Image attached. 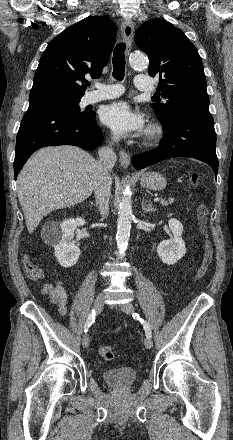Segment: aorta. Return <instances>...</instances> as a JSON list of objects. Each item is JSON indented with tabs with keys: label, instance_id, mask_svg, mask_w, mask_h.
<instances>
[{
	"label": "aorta",
	"instance_id": "762f6f07",
	"mask_svg": "<svg viewBox=\"0 0 233 440\" xmlns=\"http://www.w3.org/2000/svg\"><path fill=\"white\" fill-rule=\"evenodd\" d=\"M130 66L136 70H142L147 67V57L142 53L132 54L129 60ZM133 217L132 202L130 191L125 190L124 196L121 198L118 210L116 241L119 254L124 255L128 245L131 229V221Z\"/></svg>",
	"mask_w": 233,
	"mask_h": 440
}]
</instances>
